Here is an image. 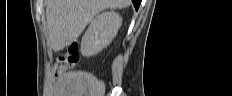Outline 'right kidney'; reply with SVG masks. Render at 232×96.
Here are the masks:
<instances>
[{"label": "right kidney", "mask_w": 232, "mask_h": 96, "mask_svg": "<svg viewBox=\"0 0 232 96\" xmlns=\"http://www.w3.org/2000/svg\"><path fill=\"white\" fill-rule=\"evenodd\" d=\"M121 24L122 18L114 11L97 15L82 37V55L90 57L107 47L116 36Z\"/></svg>", "instance_id": "ca27d5eb"}]
</instances>
